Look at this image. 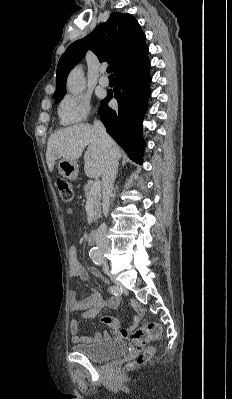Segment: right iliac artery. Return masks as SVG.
Returning a JSON list of instances; mask_svg holds the SVG:
<instances>
[{"instance_id":"obj_1","label":"right iliac artery","mask_w":232,"mask_h":399,"mask_svg":"<svg viewBox=\"0 0 232 399\" xmlns=\"http://www.w3.org/2000/svg\"><path fill=\"white\" fill-rule=\"evenodd\" d=\"M92 260L96 265H101L103 263V255H92Z\"/></svg>"}]
</instances>
